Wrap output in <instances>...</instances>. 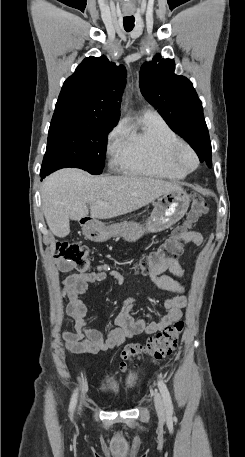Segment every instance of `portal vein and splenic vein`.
<instances>
[{
	"label": "portal vein and splenic vein",
	"mask_w": 245,
	"mask_h": 457,
	"mask_svg": "<svg viewBox=\"0 0 245 457\" xmlns=\"http://www.w3.org/2000/svg\"><path fill=\"white\" fill-rule=\"evenodd\" d=\"M98 202H101V200H98ZM103 204H105V202H103Z\"/></svg>",
	"instance_id": "18ae733b"
}]
</instances>
